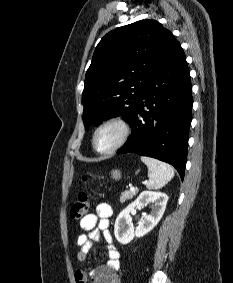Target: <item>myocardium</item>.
I'll return each mask as SVG.
<instances>
[{"label":"myocardium","instance_id":"myocardium-1","mask_svg":"<svg viewBox=\"0 0 233 283\" xmlns=\"http://www.w3.org/2000/svg\"><path fill=\"white\" fill-rule=\"evenodd\" d=\"M114 126L119 130V138L110 148L100 150L96 145V138L98 133L105 127ZM132 134V127L130 122L122 116H112L103 120L94 130L92 135V147L94 150L102 155H109L121 149L130 139Z\"/></svg>","mask_w":233,"mask_h":283}]
</instances>
